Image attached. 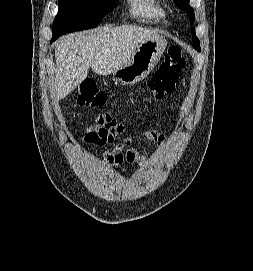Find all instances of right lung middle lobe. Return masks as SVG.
I'll return each mask as SVG.
<instances>
[{
	"instance_id": "dd1d6c3e",
	"label": "right lung middle lobe",
	"mask_w": 253,
	"mask_h": 271,
	"mask_svg": "<svg viewBox=\"0 0 253 271\" xmlns=\"http://www.w3.org/2000/svg\"><path fill=\"white\" fill-rule=\"evenodd\" d=\"M117 6L116 0H59L52 38L96 27Z\"/></svg>"
}]
</instances>
